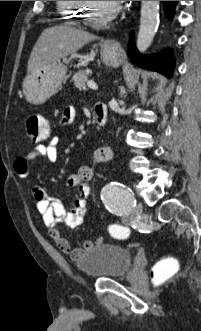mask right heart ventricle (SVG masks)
Here are the masks:
<instances>
[{
	"instance_id": "e07e8e85",
	"label": "right heart ventricle",
	"mask_w": 201,
	"mask_h": 331,
	"mask_svg": "<svg viewBox=\"0 0 201 331\" xmlns=\"http://www.w3.org/2000/svg\"><path fill=\"white\" fill-rule=\"evenodd\" d=\"M56 5L63 21L71 24L78 22V15L80 14L79 1H56Z\"/></svg>"
}]
</instances>
